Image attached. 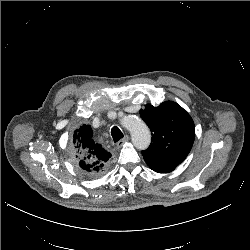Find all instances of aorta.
I'll return each mask as SVG.
<instances>
[{
  "label": "aorta",
  "instance_id": "aorta-1",
  "mask_svg": "<svg viewBox=\"0 0 250 250\" xmlns=\"http://www.w3.org/2000/svg\"><path fill=\"white\" fill-rule=\"evenodd\" d=\"M121 125L129 130L131 140L137 149L144 150L150 145V131L141 119L128 116L121 120Z\"/></svg>",
  "mask_w": 250,
  "mask_h": 250
}]
</instances>
